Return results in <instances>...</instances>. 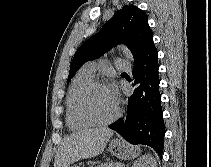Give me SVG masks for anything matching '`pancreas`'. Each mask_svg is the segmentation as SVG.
Listing matches in <instances>:
<instances>
[{"label":"pancreas","instance_id":"cf45deb5","mask_svg":"<svg viewBox=\"0 0 211 167\" xmlns=\"http://www.w3.org/2000/svg\"><path fill=\"white\" fill-rule=\"evenodd\" d=\"M96 167H123V165H121L119 163H114V162H106V163L100 164Z\"/></svg>","mask_w":211,"mask_h":167}]
</instances>
